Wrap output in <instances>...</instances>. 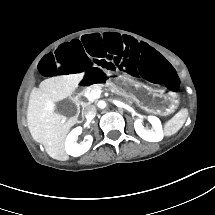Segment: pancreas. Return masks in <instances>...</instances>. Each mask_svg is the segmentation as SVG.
Listing matches in <instances>:
<instances>
[{
    "instance_id": "pancreas-1",
    "label": "pancreas",
    "mask_w": 215,
    "mask_h": 215,
    "mask_svg": "<svg viewBox=\"0 0 215 215\" xmlns=\"http://www.w3.org/2000/svg\"><path fill=\"white\" fill-rule=\"evenodd\" d=\"M109 88L112 92H114L115 94L119 95V96H126L125 92L121 89H119L113 82H109ZM102 84H94V85H91L90 87H88L87 89L84 90V94L85 93H88V97L91 98L92 100L93 99V95L91 93L92 90H95V91H100L101 88H102Z\"/></svg>"
}]
</instances>
